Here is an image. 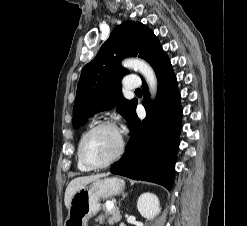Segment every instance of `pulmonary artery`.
I'll use <instances>...</instances> for the list:
<instances>
[{"mask_svg":"<svg viewBox=\"0 0 247 226\" xmlns=\"http://www.w3.org/2000/svg\"><path fill=\"white\" fill-rule=\"evenodd\" d=\"M141 86V81L137 76H128L124 81V87L127 90H135Z\"/></svg>","mask_w":247,"mask_h":226,"instance_id":"pulmonary-artery-1","label":"pulmonary artery"}]
</instances>
